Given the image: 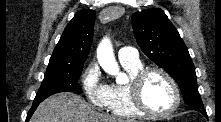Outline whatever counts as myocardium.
Returning <instances> with one entry per match:
<instances>
[{
    "instance_id": "f54148a6",
    "label": "myocardium",
    "mask_w": 221,
    "mask_h": 122,
    "mask_svg": "<svg viewBox=\"0 0 221 122\" xmlns=\"http://www.w3.org/2000/svg\"><path fill=\"white\" fill-rule=\"evenodd\" d=\"M154 73L162 75L169 82L173 90L174 103L173 106L166 112H155L151 110L147 106L143 98V85L145 83V80L149 75ZM129 90L135 107L144 115L150 117L154 118L169 117L178 110L181 103V94L177 82L167 71L158 67L143 68L140 71H138L130 80Z\"/></svg>"
}]
</instances>
